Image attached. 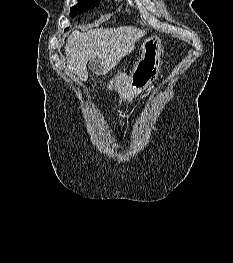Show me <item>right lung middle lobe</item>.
<instances>
[{"label": "right lung middle lobe", "instance_id": "obj_1", "mask_svg": "<svg viewBox=\"0 0 233 263\" xmlns=\"http://www.w3.org/2000/svg\"><path fill=\"white\" fill-rule=\"evenodd\" d=\"M100 0H78V4L71 8V17L79 13H83L88 9H92L94 6L98 5Z\"/></svg>", "mask_w": 233, "mask_h": 263}]
</instances>
